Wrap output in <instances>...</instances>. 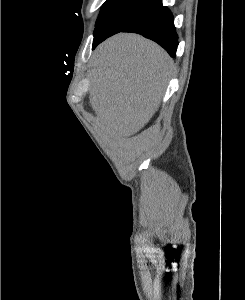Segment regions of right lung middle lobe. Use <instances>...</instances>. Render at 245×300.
Here are the masks:
<instances>
[{"label":"right lung middle lobe","mask_w":245,"mask_h":300,"mask_svg":"<svg viewBox=\"0 0 245 300\" xmlns=\"http://www.w3.org/2000/svg\"><path fill=\"white\" fill-rule=\"evenodd\" d=\"M160 5L159 1L107 0L96 22L93 43L122 31Z\"/></svg>","instance_id":"obj_1"}]
</instances>
